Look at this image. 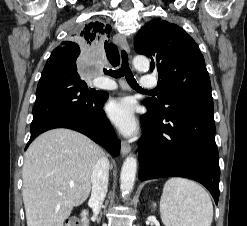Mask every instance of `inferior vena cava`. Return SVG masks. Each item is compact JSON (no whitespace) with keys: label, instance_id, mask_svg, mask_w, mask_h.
Here are the masks:
<instances>
[{"label":"inferior vena cava","instance_id":"obj_1","mask_svg":"<svg viewBox=\"0 0 247 226\" xmlns=\"http://www.w3.org/2000/svg\"><path fill=\"white\" fill-rule=\"evenodd\" d=\"M109 172V161L106 157H101L96 162L92 176V193L89 200V205L92 208L94 216L99 214L102 203L105 199L108 189V174Z\"/></svg>","mask_w":247,"mask_h":226}]
</instances>
